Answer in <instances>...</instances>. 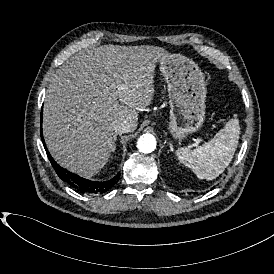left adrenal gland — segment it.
I'll return each instance as SVG.
<instances>
[{
	"instance_id": "a2214340",
	"label": "left adrenal gland",
	"mask_w": 274,
	"mask_h": 274,
	"mask_svg": "<svg viewBox=\"0 0 274 274\" xmlns=\"http://www.w3.org/2000/svg\"><path fill=\"white\" fill-rule=\"evenodd\" d=\"M170 150L173 151V145L172 144H170Z\"/></svg>"
}]
</instances>
